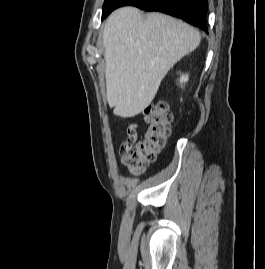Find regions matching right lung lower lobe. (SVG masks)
<instances>
[{
  "mask_svg": "<svg viewBox=\"0 0 265 269\" xmlns=\"http://www.w3.org/2000/svg\"><path fill=\"white\" fill-rule=\"evenodd\" d=\"M126 5L136 6L145 11L163 12L181 18L208 32L207 0H115L102 19L106 18L114 9Z\"/></svg>",
  "mask_w": 265,
  "mask_h": 269,
  "instance_id": "1",
  "label": "right lung lower lobe"
}]
</instances>
